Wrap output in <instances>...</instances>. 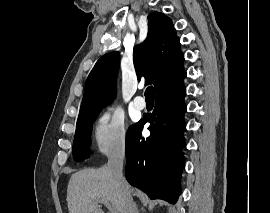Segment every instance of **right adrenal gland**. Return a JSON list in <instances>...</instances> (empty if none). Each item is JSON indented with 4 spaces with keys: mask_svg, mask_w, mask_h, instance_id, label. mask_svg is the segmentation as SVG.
<instances>
[{
    "mask_svg": "<svg viewBox=\"0 0 270 213\" xmlns=\"http://www.w3.org/2000/svg\"><path fill=\"white\" fill-rule=\"evenodd\" d=\"M133 213H139L138 207L135 202H133Z\"/></svg>",
    "mask_w": 270,
    "mask_h": 213,
    "instance_id": "right-adrenal-gland-1",
    "label": "right adrenal gland"
}]
</instances>
